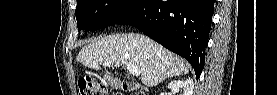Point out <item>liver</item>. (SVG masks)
<instances>
[{
  "mask_svg": "<svg viewBox=\"0 0 277 95\" xmlns=\"http://www.w3.org/2000/svg\"><path fill=\"white\" fill-rule=\"evenodd\" d=\"M76 60L94 70H101V64L106 62H111L115 68L134 65L141 72V82L148 87L188 73L183 59L136 33L105 36L84 46Z\"/></svg>",
  "mask_w": 277,
  "mask_h": 95,
  "instance_id": "liver-1",
  "label": "liver"
}]
</instances>
